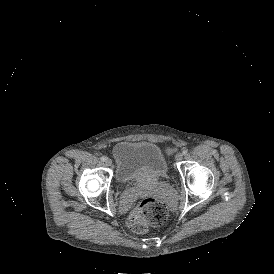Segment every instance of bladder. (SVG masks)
Returning <instances> with one entry per match:
<instances>
[{
	"label": "bladder",
	"instance_id": "bladder-1",
	"mask_svg": "<svg viewBox=\"0 0 274 274\" xmlns=\"http://www.w3.org/2000/svg\"><path fill=\"white\" fill-rule=\"evenodd\" d=\"M117 180L123 184L140 179L155 183L168 172L166 156L159 146L149 141H122L113 148Z\"/></svg>",
	"mask_w": 274,
	"mask_h": 274
}]
</instances>
